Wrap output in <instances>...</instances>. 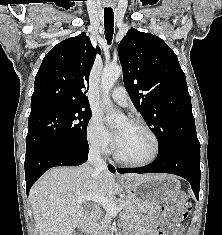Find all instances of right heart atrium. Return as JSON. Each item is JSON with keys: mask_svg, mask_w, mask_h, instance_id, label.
<instances>
[{"mask_svg": "<svg viewBox=\"0 0 222 235\" xmlns=\"http://www.w3.org/2000/svg\"><path fill=\"white\" fill-rule=\"evenodd\" d=\"M86 135L88 144L94 152L106 155L113 150V137L99 114H94L90 118Z\"/></svg>", "mask_w": 222, "mask_h": 235, "instance_id": "obj_1", "label": "right heart atrium"}]
</instances>
